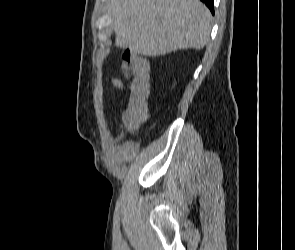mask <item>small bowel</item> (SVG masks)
<instances>
[{
	"label": "small bowel",
	"instance_id": "obj_1",
	"mask_svg": "<svg viewBox=\"0 0 295 250\" xmlns=\"http://www.w3.org/2000/svg\"><path fill=\"white\" fill-rule=\"evenodd\" d=\"M121 69L126 76L149 79L150 64L148 60L136 54L123 56L121 59ZM114 85L118 88H123V83L119 79L114 80Z\"/></svg>",
	"mask_w": 295,
	"mask_h": 250
}]
</instances>
